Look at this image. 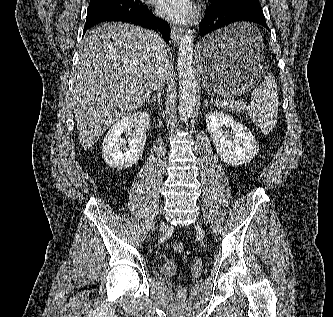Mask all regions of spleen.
I'll return each instance as SVG.
<instances>
[{
	"label": "spleen",
	"instance_id": "1",
	"mask_svg": "<svg viewBox=\"0 0 333 317\" xmlns=\"http://www.w3.org/2000/svg\"><path fill=\"white\" fill-rule=\"evenodd\" d=\"M254 30L252 37L256 39L259 31L256 27ZM251 97V105L245 110L261 132L269 134L277 122L279 109L278 91L272 74H266L262 83L252 91Z\"/></svg>",
	"mask_w": 333,
	"mask_h": 317
}]
</instances>
